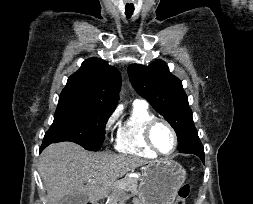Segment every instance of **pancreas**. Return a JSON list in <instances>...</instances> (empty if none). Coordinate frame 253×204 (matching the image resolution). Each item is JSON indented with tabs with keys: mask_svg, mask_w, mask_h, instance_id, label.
Wrapping results in <instances>:
<instances>
[{
	"mask_svg": "<svg viewBox=\"0 0 253 204\" xmlns=\"http://www.w3.org/2000/svg\"><path fill=\"white\" fill-rule=\"evenodd\" d=\"M123 185H126L123 187ZM130 191L133 195L138 193V179L133 177H125L112 186V193L110 202L108 204H115V201H123L126 199V192Z\"/></svg>",
	"mask_w": 253,
	"mask_h": 204,
	"instance_id": "obj_1",
	"label": "pancreas"
}]
</instances>
